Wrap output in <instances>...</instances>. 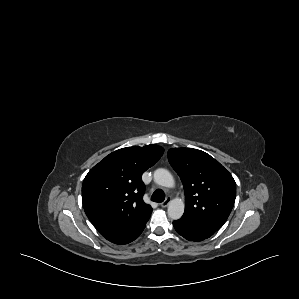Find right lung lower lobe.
<instances>
[{
	"instance_id": "right-lung-lower-lobe-1",
	"label": "right lung lower lobe",
	"mask_w": 299,
	"mask_h": 299,
	"mask_svg": "<svg viewBox=\"0 0 299 299\" xmlns=\"http://www.w3.org/2000/svg\"><path fill=\"white\" fill-rule=\"evenodd\" d=\"M144 228L145 225L134 231L114 234V235L107 236L105 238L115 244H119V245L127 244L134 241L137 237H139V235L142 233Z\"/></svg>"
}]
</instances>
